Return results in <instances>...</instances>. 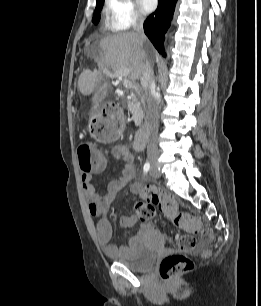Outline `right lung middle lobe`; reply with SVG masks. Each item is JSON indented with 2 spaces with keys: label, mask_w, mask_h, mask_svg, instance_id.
Instances as JSON below:
<instances>
[{
  "label": "right lung middle lobe",
  "mask_w": 261,
  "mask_h": 306,
  "mask_svg": "<svg viewBox=\"0 0 261 306\" xmlns=\"http://www.w3.org/2000/svg\"><path fill=\"white\" fill-rule=\"evenodd\" d=\"M103 3H104V0H98L96 3V8H95L94 15L92 18V22L94 24H97L100 20V11L102 9Z\"/></svg>",
  "instance_id": "1"
}]
</instances>
